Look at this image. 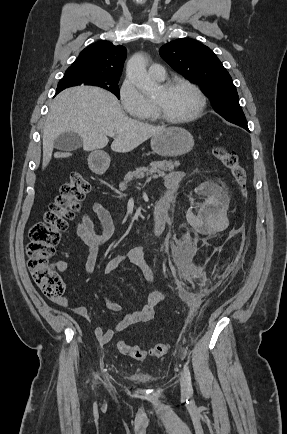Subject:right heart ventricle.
I'll use <instances>...</instances> for the list:
<instances>
[{
  "instance_id": "obj_1",
  "label": "right heart ventricle",
  "mask_w": 287,
  "mask_h": 434,
  "mask_svg": "<svg viewBox=\"0 0 287 434\" xmlns=\"http://www.w3.org/2000/svg\"><path fill=\"white\" fill-rule=\"evenodd\" d=\"M139 119L142 121H155L156 115L154 113V109L152 104L150 103L149 108L146 110L145 113L139 116Z\"/></svg>"
}]
</instances>
